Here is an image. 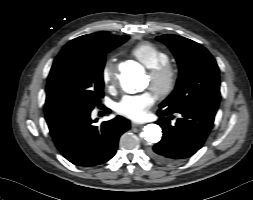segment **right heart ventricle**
<instances>
[{"label": "right heart ventricle", "instance_id": "obj_1", "mask_svg": "<svg viewBox=\"0 0 253 200\" xmlns=\"http://www.w3.org/2000/svg\"><path fill=\"white\" fill-rule=\"evenodd\" d=\"M130 55L146 68H154L169 62V54L151 42H141L130 50Z\"/></svg>", "mask_w": 253, "mask_h": 200}]
</instances>
